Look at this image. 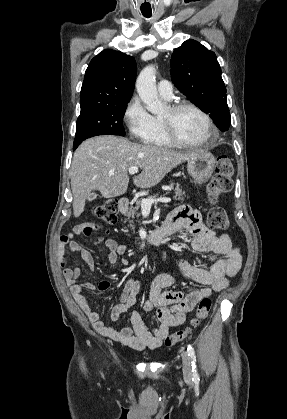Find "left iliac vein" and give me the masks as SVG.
<instances>
[{"mask_svg": "<svg viewBox=\"0 0 287 419\" xmlns=\"http://www.w3.org/2000/svg\"><path fill=\"white\" fill-rule=\"evenodd\" d=\"M183 375L185 379L190 380L192 377L191 360L186 352L182 353Z\"/></svg>", "mask_w": 287, "mask_h": 419, "instance_id": "left-iliac-vein-1", "label": "left iliac vein"}]
</instances>
